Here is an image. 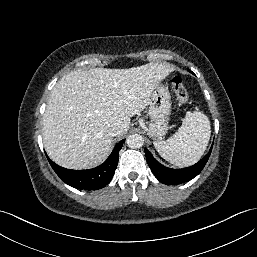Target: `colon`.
<instances>
[{
  "instance_id": "5ec220e1",
  "label": "colon",
  "mask_w": 257,
  "mask_h": 257,
  "mask_svg": "<svg viewBox=\"0 0 257 257\" xmlns=\"http://www.w3.org/2000/svg\"><path fill=\"white\" fill-rule=\"evenodd\" d=\"M171 86L175 96L177 97L179 103L183 104L188 100V92L183 83L182 78L179 75H174L171 78Z\"/></svg>"
}]
</instances>
